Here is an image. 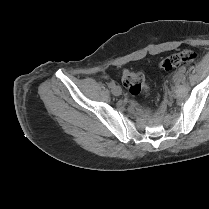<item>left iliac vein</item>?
Listing matches in <instances>:
<instances>
[{
	"mask_svg": "<svg viewBox=\"0 0 209 209\" xmlns=\"http://www.w3.org/2000/svg\"><path fill=\"white\" fill-rule=\"evenodd\" d=\"M172 79L176 83L179 82L180 79H181V74L180 73H175Z\"/></svg>",
	"mask_w": 209,
	"mask_h": 209,
	"instance_id": "4c4485c4",
	"label": "left iliac vein"
}]
</instances>
